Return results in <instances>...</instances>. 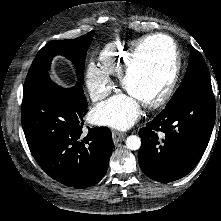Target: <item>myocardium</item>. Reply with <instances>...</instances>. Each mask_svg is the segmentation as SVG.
Listing matches in <instances>:
<instances>
[{"mask_svg":"<svg viewBox=\"0 0 221 221\" xmlns=\"http://www.w3.org/2000/svg\"><path fill=\"white\" fill-rule=\"evenodd\" d=\"M154 38H164L170 43L172 50V66L170 67L168 80L162 86V88L156 90L149 100L141 102L144 107L149 109L158 108L164 104V102L172 94L179 76L181 70V56L174 38L166 33H155L142 37L132 49L128 61L119 75L121 87L125 92L128 93V79L136 66L140 52L142 48Z\"/></svg>","mask_w":221,"mask_h":221,"instance_id":"f54148a6","label":"myocardium"}]
</instances>
